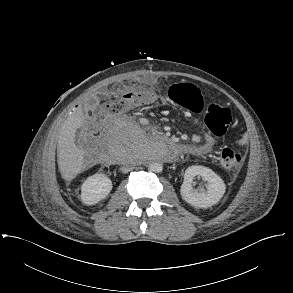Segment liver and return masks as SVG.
Listing matches in <instances>:
<instances>
[{
    "label": "liver",
    "mask_w": 293,
    "mask_h": 293,
    "mask_svg": "<svg viewBox=\"0 0 293 293\" xmlns=\"http://www.w3.org/2000/svg\"><path fill=\"white\" fill-rule=\"evenodd\" d=\"M81 108L75 109L62 124L57 145V162L64 180H72L84 170V152L75 144L76 130L83 126Z\"/></svg>",
    "instance_id": "1"
}]
</instances>
